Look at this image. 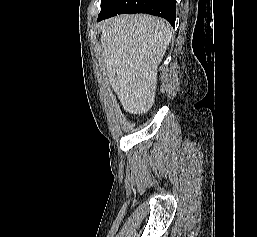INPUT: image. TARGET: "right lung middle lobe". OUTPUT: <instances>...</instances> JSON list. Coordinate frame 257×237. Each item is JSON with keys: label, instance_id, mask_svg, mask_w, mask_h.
Segmentation results:
<instances>
[{"label": "right lung middle lobe", "instance_id": "dd1d6c3e", "mask_svg": "<svg viewBox=\"0 0 257 237\" xmlns=\"http://www.w3.org/2000/svg\"><path fill=\"white\" fill-rule=\"evenodd\" d=\"M113 0H102L101 1V9L110 4Z\"/></svg>", "mask_w": 257, "mask_h": 237}]
</instances>
